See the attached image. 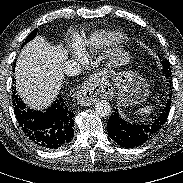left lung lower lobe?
I'll use <instances>...</instances> for the list:
<instances>
[{"instance_id":"1","label":"left lung lower lobe","mask_w":183,"mask_h":183,"mask_svg":"<svg viewBox=\"0 0 183 183\" xmlns=\"http://www.w3.org/2000/svg\"><path fill=\"white\" fill-rule=\"evenodd\" d=\"M169 82L172 80L171 71L164 73ZM162 113L149 122L131 124L119 116L117 109L107 122V131L112 140L125 148L140 146L153 137L167 120L171 105V94Z\"/></svg>"}]
</instances>
